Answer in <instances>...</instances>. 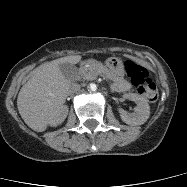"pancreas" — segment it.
Listing matches in <instances>:
<instances>
[{"label": "pancreas", "instance_id": "cf45deb5", "mask_svg": "<svg viewBox=\"0 0 187 187\" xmlns=\"http://www.w3.org/2000/svg\"><path fill=\"white\" fill-rule=\"evenodd\" d=\"M98 75H103L108 79L113 80L110 71L102 64H90L80 68L78 71V79L82 80H95Z\"/></svg>", "mask_w": 187, "mask_h": 187}]
</instances>
